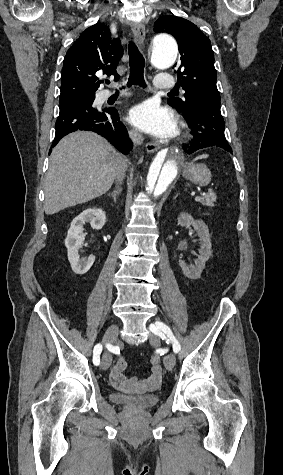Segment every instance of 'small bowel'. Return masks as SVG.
<instances>
[{"instance_id":"small-bowel-1","label":"small bowel","mask_w":283,"mask_h":475,"mask_svg":"<svg viewBox=\"0 0 283 475\" xmlns=\"http://www.w3.org/2000/svg\"><path fill=\"white\" fill-rule=\"evenodd\" d=\"M127 368V362L124 357H120L112 369L110 370L109 374V382L110 384L118 390L127 391L129 388L130 383H135L136 379H126L123 375L125 369ZM162 368H152V374L150 377L142 376L139 379L140 384L146 385L148 382L153 385H158L162 379Z\"/></svg>"}]
</instances>
